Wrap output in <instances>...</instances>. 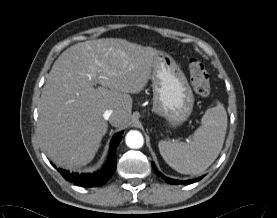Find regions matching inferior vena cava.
<instances>
[{"label":"inferior vena cava","mask_w":277,"mask_h":218,"mask_svg":"<svg viewBox=\"0 0 277 218\" xmlns=\"http://www.w3.org/2000/svg\"><path fill=\"white\" fill-rule=\"evenodd\" d=\"M112 116H113L112 110H106L103 114V117L105 120H111Z\"/></svg>","instance_id":"602c4592"}]
</instances>
